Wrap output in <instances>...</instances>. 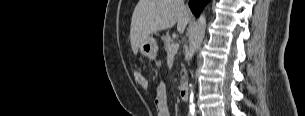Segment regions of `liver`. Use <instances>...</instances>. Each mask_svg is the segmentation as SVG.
Returning a JSON list of instances; mask_svg holds the SVG:
<instances>
[{"instance_id": "liver-1", "label": "liver", "mask_w": 305, "mask_h": 116, "mask_svg": "<svg viewBox=\"0 0 305 116\" xmlns=\"http://www.w3.org/2000/svg\"><path fill=\"white\" fill-rule=\"evenodd\" d=\"M188 22L189 11L184 0H139L130 28L133 53H138L139 46L148 36L170 29L175 24L179 33H183Z\"/></svg>"}]
</instances>
